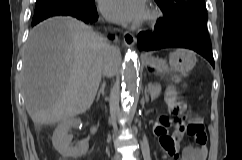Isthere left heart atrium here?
<instances>
[{
	"instance_id": "obj_1",
	"label": "left heart atrium",
	"mask_w": 242,
	"mask_h": 160,
	"mask_svg": "<svg viewBox=\"0 0 242 160\" xmlns=\"http://www.w3.org/2000/svg\"><path fill=\"white\" fill-rule=\"evenodd\" d=\"M100 9L110 21L120 24L140 22L146 14L145 0H101Z\"/></svg>"
}]
</instances>
